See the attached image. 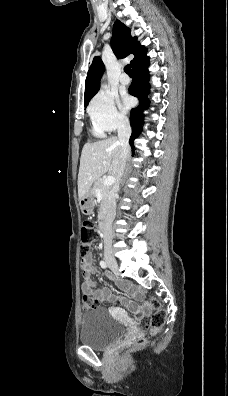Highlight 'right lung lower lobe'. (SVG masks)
<instances>
[{
  "label": "right lung lower lobe",
  "mask_w": 228,
  "mask_h": 396,
  "mask_svg": "<svg viewBox=\"0 0 228 396\" xmlns=\"http://www.w3.org/2000/svg\"><path fill=\"white\" fill-rule=\"evenodd\" d=\"M149 57H144L132 68L134 79L129 87V93L139 99V105L131 110L130 125L132 127V135L129 140L130 146L134 148V140L142 131L141 124L143 123L142 111L148 108L149 100L147 94L149 93L150 85L148 75Z\"/></svg>",
  "instance_id": "1"
}]
</instances>
